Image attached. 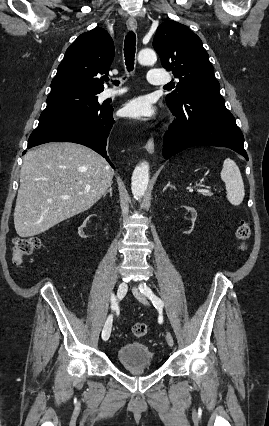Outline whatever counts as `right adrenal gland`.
Segmentation results:
<instances>
[{"label": "right adrenal gland", "mask_w": 269, "mask_h": 426, "mask_svg": "<svg viewBox=\"0 0 269 426\" xmlns=\"http://www.w3.org/2000/svg\"><path fill=\"white\" fill-rule=\"evenodd\" d=\"M108 193L112 197V184H110L109 189L103 194V197H105Z\"/></svg>", "instance_id": "obj_1"}]
</instances>
